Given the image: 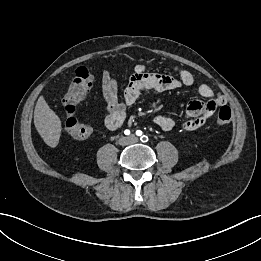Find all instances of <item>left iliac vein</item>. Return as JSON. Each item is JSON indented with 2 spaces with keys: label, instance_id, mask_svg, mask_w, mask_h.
Returning <instances> with one entry per match:
<instances>
[{
  "label": "left iliac vein",
  "instance_id": "1",
  "mask_svg": "<svg viewBox=\"0 0 261 261\" xmlns=\"http://www.w3.org/2000/svg\"><path fill=\"white\" fill-rule=\"evenodd\" d=\"M129 141L132 142V143L137 142V141H138V137H136V136H134V135H131V136L129 137Z\"/></svg>",
  "mask_w": 261,
  "mask_h": 261
}]
</instances>
